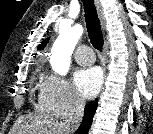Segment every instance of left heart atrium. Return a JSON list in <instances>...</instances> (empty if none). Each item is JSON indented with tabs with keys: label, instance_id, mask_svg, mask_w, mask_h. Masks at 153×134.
<instances>
[{
	"label": "left heart atrium",
	"instance_id": "39dd6f15",
	"mask_svg": "<svg viewBox=\"0 0 153 134\" xmlns=\"http://www.w3.org/2000/svg\"><path fill=\"white\" fill-rule=\"evenodd\" d=\"M74 83L81 96L92 98L101 87L102 73L95 67L79 69L74 74Z\"/></svg>",
	"mask_w": 153,
	"mask_h": 134
}]
</instances>
